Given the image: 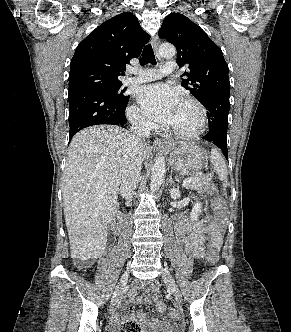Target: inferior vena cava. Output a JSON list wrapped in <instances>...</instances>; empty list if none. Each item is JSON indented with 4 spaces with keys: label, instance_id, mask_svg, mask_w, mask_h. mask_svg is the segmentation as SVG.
Instances as JSON below:
<instances>
[{
    "label": "inferior vena cava",
    "instance_id": "1",
    "mask_svg": "<svg viewBox=\"0 0 291 332\" xmlns=\"http://www.w3.org/2000/svg\"><path fill=\"white\" fill-rule=\"evenodd\" d=\"M152 124L141 117L132 121L127 152L123 162L121 178V194L127 201L132 200L133 192L139 182L143 140L150 135Z\"/></svg>",
    "mask_w": 291,
    "mask_h": 332
}]
</instances>
